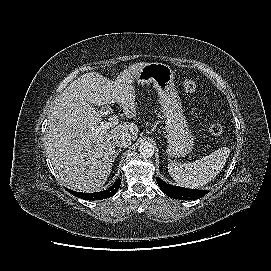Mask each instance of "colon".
I'll return each instance as SVG.
<instances>
[{
    "instance_id": "colon-1",
    "label": "colon",
    "mask_w": 271,
    "mask_h": 271,
    "mask_svg": "<svg viewBox=\"0 0 271 271\" xmlns=\"http://www.w3.org/2000/svg\"><path fill=\"white\" fill-rule=\"evenodd\" d=\"M183 87L186 92L194 94L197 91V84L191 79H185L183 81ZM224 131V127L221 123H212L209 127V132L212 136H220Z\"/></svg>"
}]
</instances>
